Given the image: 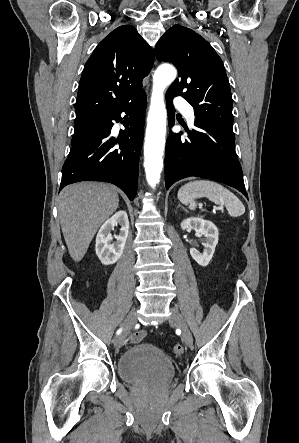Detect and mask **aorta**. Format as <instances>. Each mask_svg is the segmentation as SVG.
<instances>
[{
	"label": "aorta",
	"mask_w": 299,
	"mask_h": 443,
	"mask_svg": "<svg viewBox=\"0 0 299 443\" xmlns=\"http://www.w3.org/2000/svg\"><path fill=\"white\" fill-rule=\"evenodd\" d=\"M176 75L177 71L173 66L164 64L158 67L153 76L144 144V168L147 182L152 188L159 183L163 169L167 118L164 91L175 80Z\"/></svg>",
	"instance_id": "aorta-1"
}]
</instances>
